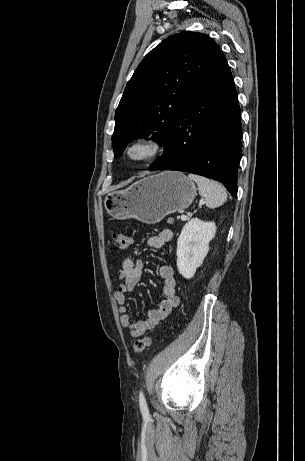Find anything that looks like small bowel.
Instances as JSON below:
<instances>
[{"label": "small bowel", "mask_w": 305, "mask_h": 461, "mask_svg": "<svg viewBox=\"0 0 305 461\" xmlns=\"http://www.w3.org/2000/svg\"><path fill=\"white\" fill-rule=\"evenodd\" d=\"M172 235L170 229H161L157 234L149 237L147 244L150 248L160 249L172 239ZM143 271L144 267L140 259L131 257L124 258L118 270L121 283L117 286L113 294L119 308L120 323L123 328L129 330L132 337H139L145 332L152 330L161 321L165 320L180 303V298L175 292L176 279L174 270L170 264H162L159 273L163 280V299L159 307L150 310L146 319L136 322L131 321L127 313L126 295L138 284L143 275Z\"/></svg>", "instance_id": "c3829d8e"}]
</instances>
